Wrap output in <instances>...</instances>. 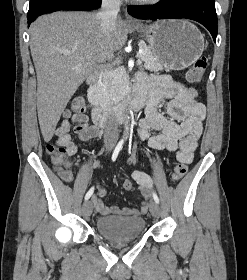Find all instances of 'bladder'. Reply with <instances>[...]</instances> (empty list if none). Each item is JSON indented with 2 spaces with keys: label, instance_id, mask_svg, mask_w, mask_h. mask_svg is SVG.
Returning <instances> with one entry per match:
<instances>
[{
  "label": "bladder",
  "instance_id": "bladder-1",
  "mask_svg": "<svg viewBox=\"0 0 247 280\" xmlns=\"http://www.w3.org/2000/svg\"><path fill=\"white\" fill-rule=\"evenodd\" d=\"M145 220L141 217L104 216L97 218V232L115 242L130 241L141 237L145 231Z\"/></svg>",
  "mask_w": 247,
  "mask_h": 280
}]
</instances>
